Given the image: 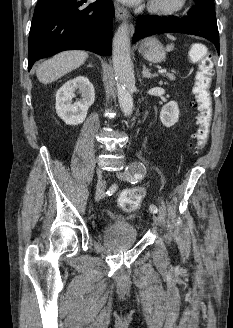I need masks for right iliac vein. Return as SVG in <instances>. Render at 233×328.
Returning <instances> with one entry per match:
<instances>
[{
    "label": "right iliac vein",
    "instance_id": "obj_1",
    "mask_svg": "<svg viewBox=\"0 0 233 328\" xmlns=\"http://www.w3.org/2000/svg\"><path fill=\"white\" fill-rule=\"evenodd\" d=\"M97 177H98V181H97L96 191H95L96 201L102 199V197L104 196V192H105V183L102 180V172L100 169L97 170Z\"/></svg>",
    "mask_w": 233,
    "mask_h": 328
}]
</instances>
